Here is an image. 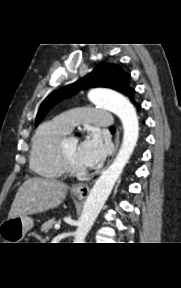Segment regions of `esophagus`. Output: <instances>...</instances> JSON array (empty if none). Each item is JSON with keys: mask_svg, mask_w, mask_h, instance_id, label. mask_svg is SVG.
<instances>
[{"mask_svg": "<svg viewBox=\"0 0 181 288\" xmlns=\"http://www.w3.org/2000/svg\"><path fill=\"white\" fill-rule=\"evenodd\" d=\"M119 140H120V134L119 131L116 132L115 136V149L113 154L108 158L107 160V165L110 164V162L113 160L119 146ZM92 183H86V182H81V183H76L72 186V192L75 193L76 195L80 197H87L89 192H90V187Z\"/></svg>", "mask_w": 181, "mask_h": 288, "instance_id": "obj_1", "label": "esophagus"}]
</instances>
